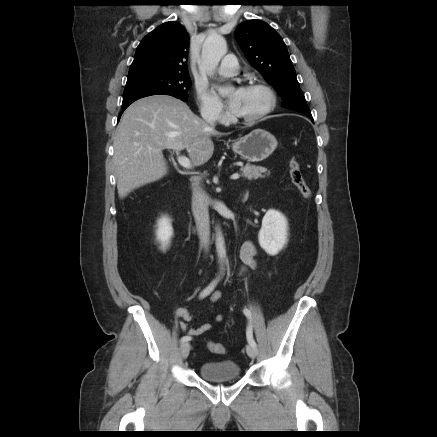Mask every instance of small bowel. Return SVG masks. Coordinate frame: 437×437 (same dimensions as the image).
<instances>
[{"instance_id":"1","label":"small bowel","mask_w":437,"mask_h":437,"mask_svg":"<svg viewBox=\"0 0 437 437\" xmlns=\"http://www.w3.org/2000/svg\"><path fill=\"white\" fill-rule=\"evenodd\" d=\"M256 254H257V249L253 242L246 241L245 243H243L240 250V257L244 266L253 268L256 263L255 262ZM221 298H222L221 292L217 291L210 297V301L212 304H214ZM174 313L177 318L182 319V321L179 322L180 329L184 332H187L188 335L190 336H199L212 329V325L210 323L202 324L199 327L190 326L189 322L192 321L193 315L184 307L177 308ZM222 319H223L222 315L216 316L217 322L222 321Z\"/></svg>"}]
</instances>
